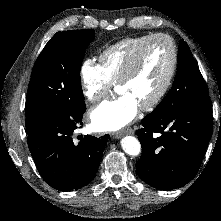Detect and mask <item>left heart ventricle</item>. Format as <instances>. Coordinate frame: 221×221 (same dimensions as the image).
Here are the masks:
<instances>
[{"label": "left heart ventricle", "instance_id": "1", "mask_svg": "<svg viewBox=\"0 0 221 221\" xmlns=\"http://www.w3.org/2000/svg\"><path fill=\"white\" fill-rule=\"evenodd\" d=\"M171 63L168 41L158 39L145 49L135 75L117 88L119 94L131 97L139 107L150 101L161 88Z\"/></svg>", "mask_w": 221, "mask_h": 221}]
</instances>
